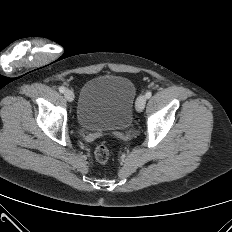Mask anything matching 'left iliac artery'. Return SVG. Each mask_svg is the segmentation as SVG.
I'll return each mask as SVG.
<instances>
[{"label": "left iliac artery", "mask_w": 232, "mask_h": 232, "mask_svg": "<svg viewBox=\"0 0 232 232\" xmlns=\"http://www.w3.org/2000/svg\"><path fill=\"white\" fill-rule=\"evenodd\" d=\"M151 96H152L151 91H147V93L145 94V97L149 99Z\"/></svg>", "instance_id": "1"}]
</instances>
